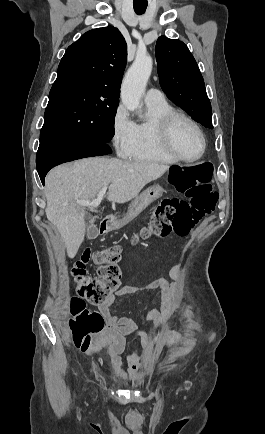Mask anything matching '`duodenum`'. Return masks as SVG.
I'll list each match as a JSON object with an SVG mask.
<instances>
[{"label":"duodenum","mask_w":265,"mask_h":434,"mask_svg":"<svg viewBox=\"0 0 265 434\" xmlns=\"http://www.w3.org/2000/svg\"><path fill=\"white\" fill-rule=\"evenodd\" d=\"M100 223H101V227H100L101 232H108L112 230V222L110 220L107 221L103 219L101 220Z\"/></svg>","instance_id":"duodenum-1"}]
</instances>
